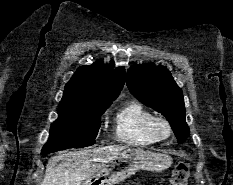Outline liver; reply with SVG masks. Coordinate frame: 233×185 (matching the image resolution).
Segmentation results:
<instances>
[{
	"mask_svg": "<svg viewBox=\"0 0 233 185\" xmlns=\"http://www.w3.org/2000/svg\"><path fill=\"white\" fill-rule=\"evenodd\" d=\"M125 149L111 145L54 156L48 160L42 185H81Z\"/></svg>",
	"mask_w": 233,
	"mask_h": 185,
	"instance_id": "liver-1",
	"label": "liver"
}]
</instances>
